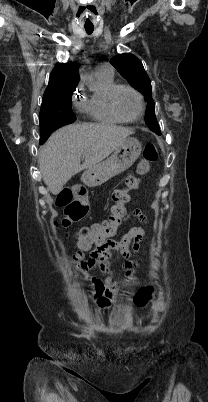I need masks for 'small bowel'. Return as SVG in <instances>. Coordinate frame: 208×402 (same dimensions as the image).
Here are the masks:
<instances>
[{
  "instance_id": "small-bowel-1",
  "label": "small bowel",
  "mask_w": 208,
  "mask_h": 402,
  "mask_svg": "<svg viewBox=\"0 0 208 402\" xmlns=\"http://www.w3.org/2000/svg\"><path fill=\"white\" fill-rule=\"evenodd\" d=\"M133 216L143 223H149L146 215L140 211H135ZM144 235L145 231L142 228L133 227L122 237L119 242L113 241V238L108 236L106 238L107 243L104 241H99L98 247H95L94 252L89 254L90 258H87L86 262H81L78 264L77 269L81 272H84L85 279L91 282L93 286L92 294L96 298H110L117 292L116 269L109 262V258L112 257L111 252L120 251L125 258L131 261L135 256V252L129 248L128 244L133 241L135 246H138ZM89 265L97 266L104 272L105 278L103 281L85 273ZM127 275L130 276L131 273L129 272Z\"/></svg>"
}]
</instances>
